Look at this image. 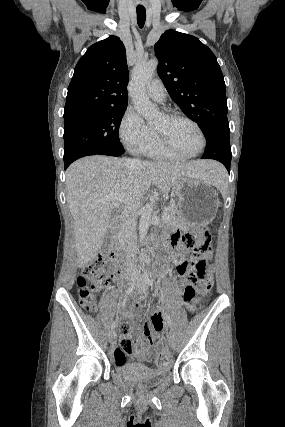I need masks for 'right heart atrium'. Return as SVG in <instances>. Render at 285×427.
Listing matches in <instances>:
<instances>
[{"label": "right heart atrium", "instance_id": "d8ad5b80", "mask_svg": "<svg viewBox=\"0 0 285 427\" xmlns=\"http://www.w3.org/2000/svg\"><path fill=\"white\" fill-rule=\"evenodd\" d=\"M120 137L128 150L140 154L152 139L151 127L131 107L120 124Z\"/></svg>", "mask_w": 285, "mask_h": 427}]
</instances>
